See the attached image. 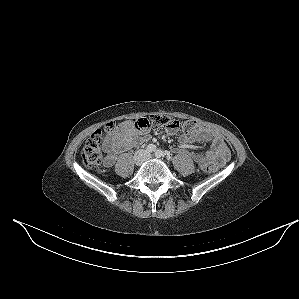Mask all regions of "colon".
Here are the masks:
<instances>
[{
  "mask_svg": "<svg viewBox=\"0 0 299 299\" xmlns=\"http://www.w3.org/2000/svg\"><path fill=\"white\" fill-rule=\"evenodd\" d=\"M123 126H128L138 131H146L153 127L165 128L170 132H175L180 128V123L164 115H151L146 118L134 119L122 123H107L102 128L96 130L84 145L81 157L85 167L93 168L101 164L103 159L102 147L115 139ZM182 128L188 136H195L200 130L199 125L194 121H186ZM201 169L206 173H213L217 170V166L212 163H206Z\"/></svg>",
  "mask_w": 299,
  "mask_h": 299,
  "instance_id": "colon-1",
  "label": "colon"
}]
</instances>
